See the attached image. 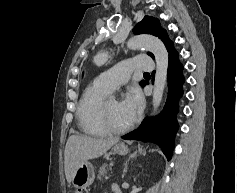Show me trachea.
<instances>
[{
	"label": "trachea",
	"instance_id": "trachea-1",
	"mask_svg": "<svg viewBox=\"0 0 237 193\" xmlns=\"http://www.w3.org/2000/svg\"><path fill=\"white\" fill-rule=\"evenodd\" d=\"M144 75H149V73L145 72Z\"/></svg>",
	"mask_w": 237,
	"mask_h": 193
}]
</instances>
